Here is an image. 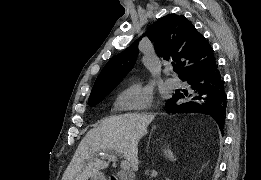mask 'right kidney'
I'll list each match as a JSON object with an SVG mask.
<instances>
[{
	"mask_svg": "<svg viewBox=\"0 0 261 180\" xmlns=\"http://www.w3.org/2000/svg\"><path fill=\"white\" fill-rule=\"evenodd\" d=\"M165 156H167V158H170V160H173L174 158L171 150H165Z\"/></svg>",
	"mask_w": 261,
	"mask_h": 180,
	"instance_id": "ca27d5eb",
	"label": "right kidney"
}]
</instances>
